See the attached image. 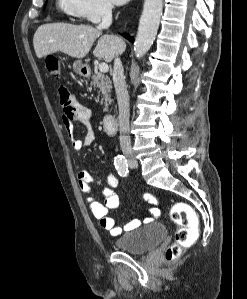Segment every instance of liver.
<instances>
[{"label":"liver","mask_w":247,"mask_h":299,"mask_svg":"<svg viewBox=\"0 0 247 299\" xmlns=\"http://www.w3.org/2000/svg\"><path fill=\"white\" fill-rule=\"evenodd\" d=\"M97 38L99 40L93 55L99 59L111 62L115 56L125 51V42L117 36L102 35L100 29L90 25L68 23L39 26L33 37V45L39 59L56 52L83 58L89 53Z\"/></svg>","instance_id":"1"}]
</instances>
